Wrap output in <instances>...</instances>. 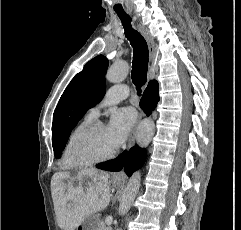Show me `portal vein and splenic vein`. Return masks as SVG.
<instances>
[{"label": "portal vein and splenic vein", "mask_w": 241, "mask_h": 230, "mask_svg": "<svg viewBox=\"0 0 241 230\" xmlns=\"http://www.w3.org/2000/svg\"><path fill=\"white\" fill-rule=\"evenodd\" d=\"M105 222H106L107 225H111V223H112V217L106 218Z\"/></svg>", "instance_id": "1"}]
</instances>
